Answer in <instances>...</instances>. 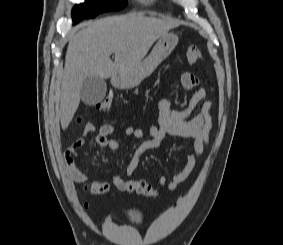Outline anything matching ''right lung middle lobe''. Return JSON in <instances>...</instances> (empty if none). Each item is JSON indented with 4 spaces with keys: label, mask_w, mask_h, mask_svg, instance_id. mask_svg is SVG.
I'll return each instance as SVG.
<instances>
[{
    "label": "right lung middle lobe",
    "mask_w": 283,
    "mask_h": 245,
    "mask_svg": "<svg viewBox=\"0 0 283 245\" xmlns=\"http://www.w3.org/2000/svg\"><path fill=\"white\" fill-rule=\"evenodd\" d=\"M126 2L127 0H86L84 4L76 5L72 10L73 22L96 17L102 12L121 10L126 6Z\"/></svg>",
    "instance_id": "dd1d6c3e"
}]
</instances>
